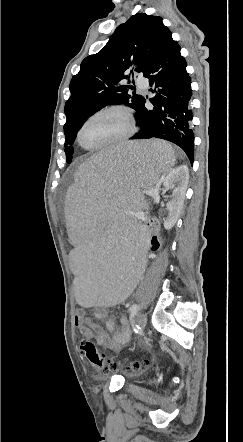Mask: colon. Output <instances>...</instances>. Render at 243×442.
<instances>
[{
  "mask_svg": "<svg viewBox=\"0 0 243 442\" xmlns=\"http://www.w3.org/2000/svg\"><path fill=\"white\" fill-rule=\"evenodd\" d=\"M160 218L159 216H150L149 223L146 224V227H148V231H146V234H148L147 241H149L148 246L149 251L151 253L159 254L162 252L161 242L163 241V233L164 228L163 226L159 225ZM156 225V226H154ZM81 352L86 357V359L89 361V363L97 370L109 373L114 371H119L123 368L125 369H138L143 364L145 365H152L154 363V358L152 356H145L142 361H138L137 358H124V363H131L128 366H122L120 363L113 362L110 360H107L105 355L101 353L96 345L91 341H85L81 343Z\"/></svg>",
  "mask_w": 243,
  "mask_h": 442,
  "instance_id": "obj_1",
  "label": "colon"
}]
</instances>
